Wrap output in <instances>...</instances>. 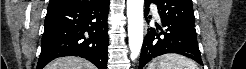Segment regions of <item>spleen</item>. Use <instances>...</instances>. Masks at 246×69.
I'll use <instances>...</instances> for the list:
<instances>
[{"label":"spleen","mask_w":246,"mask_h":69,"mask_svg":"<svg viewBox=\"0 0 246 69\" xmlns=\"http://www.w3.org/2000/svg\"><path fill=\"white\" fill-rule=\"evenodd\" d=\"M150 69H198L195 62L176 54H166L158 57L149 65Z\"/></svg>","instance_id":"1"}]
</instances>
